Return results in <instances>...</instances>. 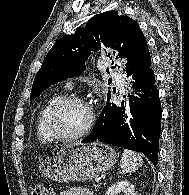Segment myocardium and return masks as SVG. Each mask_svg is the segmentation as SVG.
Returning <instances> with one entry per match:
<instances>
[{"mask_svg": "<svg viewBox=\"0 0 189 195\" xmlns=\"http://www.w3.org/2000/svg\"><path fill=\"white\" fill-rule=\"evenodd\" d=\"M71 104H80L85 106L88 111H89V120L85 126V128L80 131L77 134L74 135H66L63 134L59 131L56 121L58 118L59 113L66 108L67 106L71 105ZM95 123V113L93 111V108L90 104V102L80 96H69V97H65L62 100H60L59 102H57L52 109L49 111L47 119H46V126L47 129L49 131V133L51 134V136L55 139V140H59V141H63V142H70V141H75V140H79L83 137H85L93 128Z\"/></svg>", "mask_w": 189, "mask_h": 195, "instance_id": "1", "label": "myocardium"}]
</instances>
